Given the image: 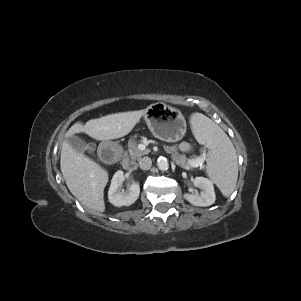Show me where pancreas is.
<instances>
[{"instance_id": "pancreas-1", "label": "pancreas", "mask_w": 301, "mask_h": 301, "mask_svg": "<svg viewBox=\"0 0 301 301\" xmlns=\"http://www.w3.org/2000/svg\"><path fill=\"white\" fill-rule=\"evenodd\" d=\"M128 148L129 155L134 160L139 159L143 155H147L149 153V150L141 151L138 148V142L134 139L129 140ZM165 150L167 153H170L172 155V159L175 161V163L184 169H190L191 167H193L192 162L198 158H186L185 155L179 154L177 151L166 146Z\"/></svg>"}]
</instances>
